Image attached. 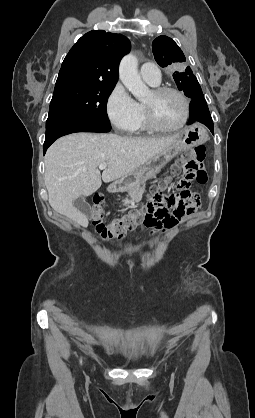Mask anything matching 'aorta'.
<instances>
[{"instance_id":"1","label":"aorta","mask_w":255,"mask_h":418,"mask_svg":"<svg viewBox=\"0 0 255 418\" xmlns=\"http://www.w3.org/2000/svg\"><path fill=\"white\" fill-rule=\"evenodd\" d=\"M119 77L124 86L139 101L148 96L150 90L138 74V60L134 55L128 54L122 58L119 66Z\"/></svg>"}]
</instances>
